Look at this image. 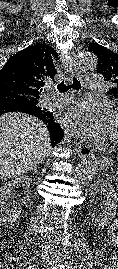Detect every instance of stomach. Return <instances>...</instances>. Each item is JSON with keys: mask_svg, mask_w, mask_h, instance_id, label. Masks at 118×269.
<instances>
[{"mask_svg": "<svg viewBox=\"0 0 118 269\" xmlns=\"http://www.w3.org/2000/svg\"><path fill=\"white\" fill-rule=\"evenodd\" d=\"M113 166V161L110 158H104L101 163L103 169L111 168Z\"/></svg>", "mask_w": 118, "mask_h": 269, "instance_id": "obj_1", "label": "stomach"}]
</instances>
